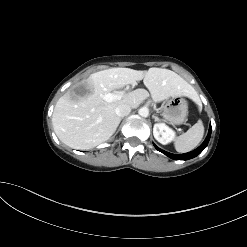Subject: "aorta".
<instances>
[{"label":"aorta","instance_id":"1","mask_svg":"<svg viewBox=\"0 0 247 247\" xmlns=\"http://www.w3.org/2000/svg\"><path fill=\"white\" fill-rule=\"evenodd\" d=\"M138 113L141 117H148L149 109L147 107H142L139 109Z\"/></svg>","mask_w":247,"mask_h":247}]
</instances>
